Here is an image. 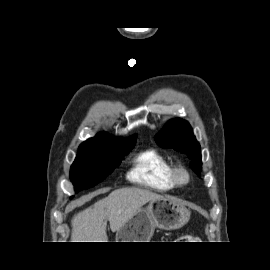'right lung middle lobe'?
Returning <instances> with one entry per match:
<instances>
[{
	"mask_svg": "<svg viewBox=\"0 0 270 270\" xmlns=\"http://www.w3.org/2000/svg\"><path fill=\"white\" fill-rule=\"evenodd\" d=\"M135 142L96 148H79L70 169V179L75 191L93 187L105 179L121 159L135 146Z\"/></svg>",
	"mask_w": 270,
	"mask_h": 270,
	"instance_id": "1",
	"label": "right lung middle lobe"
}]
</instances>
